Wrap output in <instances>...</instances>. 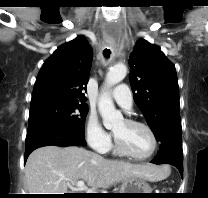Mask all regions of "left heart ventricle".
<instances>
[{
  "label": "left heart ventricle",
  "instance_id": "b2bd125f",
  "mask_svg": "<svg viewBox=\"0 0 208 198\" xmlns=\"http://www.w3.org/2000/svg\"><path fill=\"white\" fill-rule=\"evenodd\" d=\"M114 135L121 140L135 155L145 156L152 149V139L146 129L137 125H130L125 120L120 121L113 128Z\"/></svg>",
  "mask_w": 208,
  "mask_h": 198
}]
</instances>
